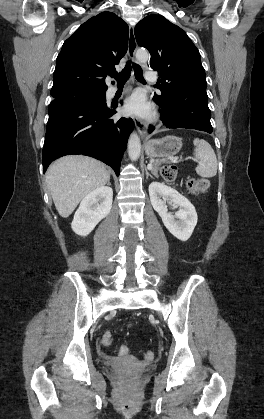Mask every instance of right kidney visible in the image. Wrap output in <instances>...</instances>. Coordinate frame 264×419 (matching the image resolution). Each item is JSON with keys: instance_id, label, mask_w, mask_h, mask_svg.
<instances>
[{"instance_id": "ca27d5eb", "label": "right kidney", "mask_w": 264, "mask_h": 419, "mask_svg": "<svg viewBox=\"0 0 264 419\" xmlns=\"http://www.w3.org/2000/svg\"><path fill=\"white\" fill-rule=\"evenodd\" d=\"M113 190L102 186L90 192L81 201L72 221V230L80 235L87 236L95 226L105 218L112 208Z\"/></svg>"}]
</instances>
